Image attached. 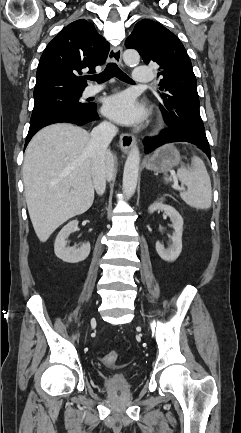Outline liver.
<instances>
[{
	"label": "liver",
	"instance_id": "1",
	"mask_svg": "<svg viewBox=\"0 0 241 433\" xmlns=\"http://www.w3.org/2000/svg\"><path fill=\"white\" fill-rule=\"evenodd\" d=\"M89 141L86 130L58 123L41 129L27 146L23 163L25 198L41 242L93 203ZM105 163L106 177L111 180L115 159L110 151H106Z\"/></svg>",
	"mask_w": 241,
	"mask_h": 433
}]
</instances>
